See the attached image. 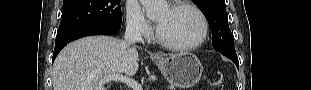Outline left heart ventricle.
I'll use <instances>...</instances> for the list:
<instances>
[{
	"label": "left heart ventricle",
	"mask_w": 311,
	"mask_h": 90,
	"mask_svg": "<svg viewBox=\"0 0 311 90\" xmlns=\"http://www.w3.org/2000/svg\"><path fill=\"white\" fill-rule=\"evenodd\" d=\"M160 35L173 44H190L198 39L202 31L199 17L190 9H163L156 17Z\"/></svg>",
	"instance_id": "b2bd125f"
}]
</instances>
